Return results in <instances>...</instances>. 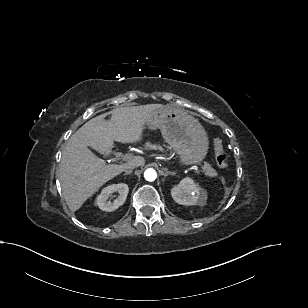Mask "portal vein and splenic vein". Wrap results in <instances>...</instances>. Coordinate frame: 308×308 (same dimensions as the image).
I'll list each match as a JSON object with an SVG mask.
<instances>
[{
  "mask_svg": "<svg viewBox=\"0 0 308 308\" xmlns=\"http://www.w3.org/2000/svg\"><path fill=\"white\" fill-rule=\"evenodd\" d=\"M121 159H122V160H131V161H135V160L137 159V156H132V155H130V154H126V155H123V156L121 157ZM192 168L195 170L196 173H200V170L198 169L197 166H193Z\"/></svg>",
  "mask_w": 308,
  "mask_h": 308,
  "instance_id": "obj_1",
  "label": "portal vein and splenic vein"
}]
</instances>
